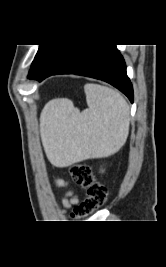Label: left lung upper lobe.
<instances>
[{
	"label": "left lung upper lobe",
	"mask_w": 166,
	"mask_h": 267,
	"mask_svg": "<svg viewBox=\"0 0 166 267\" xmlns=\"http://www.w3.org/2000/svg\"><path fill=\"white\" fill-rule=\"evenodd\" d=\"M55 44L50 45H40L38 52L34 58V61L31 65V69L28 74V78L32 79L34 74L36 73L37 69L40 67L44 58L48 55V53L55 47Z\"/></svg>",
	"instance_id": "left-lung-upper-lobe-1"
}]
</instances>
